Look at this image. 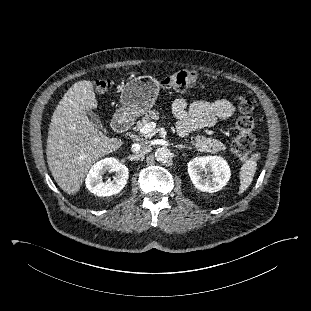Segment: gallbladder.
Segmentation results:
<instances>
[{"label": "gallbladder", "mask_w": 311, "mask_h": 311, "mask_svg": "<svg viewBox=\"0 0 311 311\" xmlns=\"http://www.w3.org/2000/svg\"><path fill=\"white\" fill-rule=\"evenodd\" d=\"M86 116L92 121L93 125L98 129H103L102 123L98 117L93 111L88 110L85 112Z\"/></svg>", "instance_id": "obj_1"}]
</instances>
